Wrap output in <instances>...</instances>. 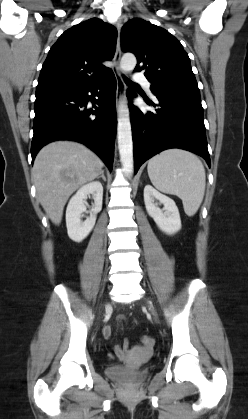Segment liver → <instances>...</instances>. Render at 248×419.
<instances>
[{
  "label": "liver",
  "mask_w": 248,
  "mask_h": 419,
  "mask_svg": "<svg viewBox=\"0 0 248 419\" xmlns=\"http://www.w3.org/2000/svg\"><path fill=\"white\" fill-rule=\"evenodd\" d=\"M102 167V160L77 142H53L39 151L32 177L37 199L55 225L61 223L63 209L70 195L83 184L97 178Z\"/></svg>",
  "instance_id": "1"
}]
</instances>
